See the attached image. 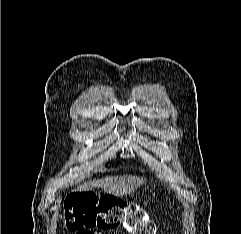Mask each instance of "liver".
<instances>
[{
  "label": "liver",
  "mask_w": 241,
  "mask_h": 234,
  "mask_svg": "<svg viewBox=\"0 0 241 234\" xmlns=\"http://www.w3.org/2000/svg\"><path fill=\"white\" fill-rule=\"evenodd\" d=\"M145 182L146 179L136 176H114L84 184L80 187V190L86 191L92 189L93 187H97L103 189L110 195L120 197L131 193L135 189L141 187Z\"/></svg>",
  "instance_id": "1"
}]
</instances>
